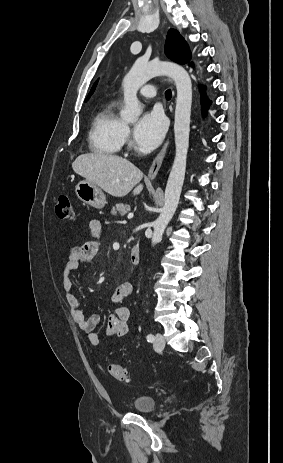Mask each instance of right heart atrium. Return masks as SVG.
<instances>
[{"mask_svg": "<svg viewBox=\"0 0 283 463\" xmlns=\"http://www.w3.org/2000/svg\"><path fill=\"white\" fill-rule=\"evenodd\" d=\"M129 136V130L127 127H125V130H124V139H127Z\"/></svg>", "mask_w": 283, "mask_h": 463, "instance_id": "1", "label": "right heart atrium"}]
</instances>
